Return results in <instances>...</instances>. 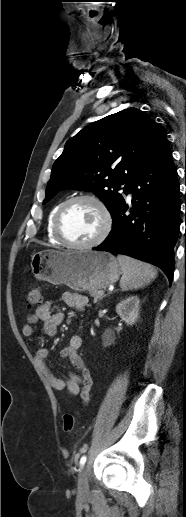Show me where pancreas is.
<instances>
[{"label":"pancreas","instance_id":"obj_1","mask_svg":"<svg viewBox=\"0 0 186 517\" xmlns=\"http://www.w3.org/2000/svg\"><path fill=\"white\" fill-rule=\"evenodd\" d=\"M98 292H99L98 290L89 291L90 296L94 298V303L98 302L99 300H101L103 298V295H99Z\"/></svg>","mask_w":186,"mask_h":517}]
</instances>
